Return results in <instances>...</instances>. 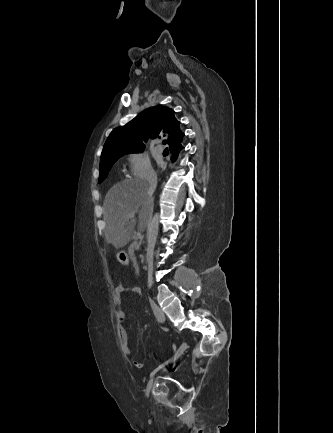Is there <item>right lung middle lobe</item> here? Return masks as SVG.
I'll return each mask as SVG.
<instances>
[{
	"label": "right lung middle lobe",
	"instance_id": "dd1d6c3e",
	"mask_svg": "<svg viewBox=\"0 0 333 433\" xmlns=\"http://www.w3.org/2000/svg\"><path fill=\"white\" fill-rule=\"evenodd\" d=\"M143 150L139 151H132L128 153H122V154H114L106 159H102L99 166V183L102 182L108 175V172L110 171L112 165L123 155L129 154V153H135V152H142Z\"/></svg>",
	"mask_w": 333,
	"mask_h": 433
}]
</instances>
